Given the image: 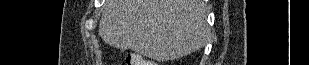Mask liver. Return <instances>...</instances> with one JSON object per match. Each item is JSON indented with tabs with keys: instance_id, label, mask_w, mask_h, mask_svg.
<instances>
[{
	"instance_id": "1",
	"label": "liver",
	"mask_w": 309,
	"mask_h": 65,
	"mask_svg": "<svg viewBox=\"0 0 309 65\" xmlns=\"http://www.w3.org/2000/svg\"><path fill=\"white\" fill-rule=\"evenodd\" d=\"M208 32L201 0H106L99 22L105 43L157 61L199 50Z\"/></svg>"
}]
</instances>
